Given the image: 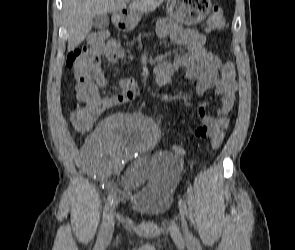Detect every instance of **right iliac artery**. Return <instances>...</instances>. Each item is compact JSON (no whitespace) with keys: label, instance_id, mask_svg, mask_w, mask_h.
I'll return each mask as SVG.
<instances>
[{"label":"right iliac artery","instance_id":"obj_1","mask_svg":"<svg viewBox=\"0 0 295 250\" xmlns=\"http://www.w3.org/2000/svg\"><path fill=\"white\" fill-rule=\"evenodd\" d=\"M113 195L110 194L107 198V201L105 203V207H104V210H103V221H102V226H101V230L99 232V235H98V241L99 242H102L103 241V238H104V233H105V227H106V224H107V220L109 218V214H110V210H111V207H112V204H113Z\"/></svg>","mask_w":295,"mask_h":250}]
</instances>
